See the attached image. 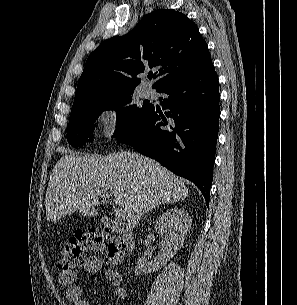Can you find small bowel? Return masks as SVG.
Masks as SVG:
<instances>
[{
    "mask_svg": "<svg viewBox=\"0 0 297 305\" xmlns=\"http://www.w3.org/2000/svg\"><path fill=\"white\" fill-rule=\"evenodd\" d=\"M103 268V261L97 256L89 257L84 265V269L89 274H95ZM106 277L114 286L113 295L118 300L127 298V291L122 286L123 277L119 272L113 270L106 271ZM58 280L62 287L66 289L67 298L72 305H90L89 301L84 297L83 290L77 281V274L74 271H61L58 273Z\"/></svg>",
    "mask_w": 297,
    "mask_h": 305,
    "instance_id": "obj_1",
    "label": "small bowel"
}]
</instances>
